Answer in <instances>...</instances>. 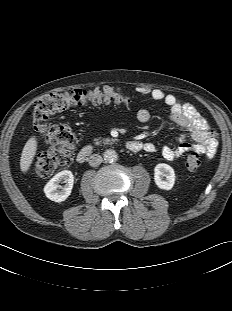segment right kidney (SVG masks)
<instances>
[{"instance_id": "right-kidney-1", "label": "right kidney", "mask_w": 232, "mask_h": 311, "mask_svg": "<svg viewBox=\"0 0 232 311\" xmlns=\"http://www.w3.org/2000/svg\"><path fill=\"white\" fill-rule=\"evenodd\" d=\"M60 182L65 183L63 187ZM74 177L71 171L63 170L57 173L44 187V193L47 198L55 202L65 201L71 194L73 188ZM61 188V190H58Z\"/></svg>"}]
</instances>
